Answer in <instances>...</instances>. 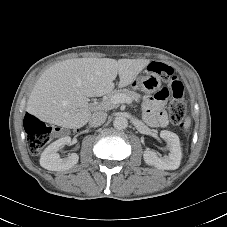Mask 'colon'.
<instances>
[{"label": "colon", "instance_id": "1", "mask_svg": "<svg viewBox=\"0 0 227 227\" xmlns=\"http://www.w3.org/2000/svg\"><path fill=\"white\" fill-rule=\"evenodd\" d=\"M149 70L161 75L163 80L168 83L166 89L172 100L169 104V116L172 123L185 127L186 125V106L183 101L184 87L181 81L174 75L173 69L160 62H152ZM24 129L27 134L28 149L32 154H37L43 149L51 139L54 128L46 125L33 115H26L24 118Z\"/></svg>", "mask_w": 227, "mask_h": 227}]
</instances>
